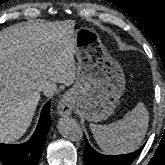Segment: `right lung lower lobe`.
Masks as SVG:
<instances>
[{
  "instance_id": "right-lung-lower-lobe-1",
  "label": "right lung lower lobe",
  "mask_w": 165,
  "mask_h": 165,
  "mask_svg": "<svg viewBox=\"0 0 165 165\" xmlns=\"http://www.w3.org/2000/svg\"><path fill=\"white\" fill-rule=\"evenodd\" d=\"M50 103L42 108L38 125L32 137L25 143L10 145L0 143V161L6 165H36L45 146L51 125Z\"/></svg>"
}]
</instances>
